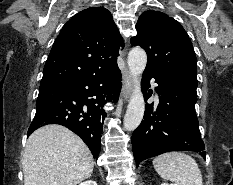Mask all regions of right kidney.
I'll use <instances>...</instances> for the list:
<instances>
[{"mask_svg": "<svg viewBox=\"0 0 233 185\" xmlns=\"http://www.w3.org/2000/svg\"><path fill=\"white\" fill-rule=\"evenodd\" d=\"M79 185H97V183L93 180H87L83 183H80Z\"/></svg>", "mask_w": 233, "mask_h": 185, "instance_id": "right-kidney-1", "label": "right kidney"}]
</instances>
